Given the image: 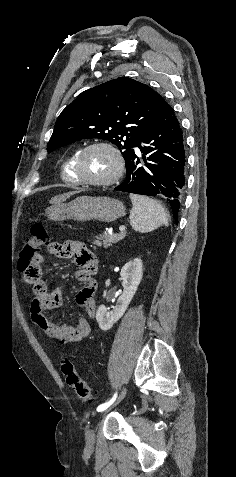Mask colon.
I'll use <instances>...</instances> for the list:
<instances>
[{"label": "colon", "mask_w": 236, "mask_h": 477, "mask_svg": "<svg viewBox=\"0 0 236 477\" xmlns=\"http://www.w3.org/2000/svg\"><path fill=\"white\" fill-rule=\"evenodd\" d=\"M48 244H50V237L46 224L40 222L33 224L30 237L25 241L20 252L18 268L32 287L34 293L42 289V257L40 249L42 245ZM61 370L67 384L75 390L80 400L85 402L93 400L91 388L68 357L62 358Z\"/></svg>", "instance_id": "obj_1"}]
</instances>
